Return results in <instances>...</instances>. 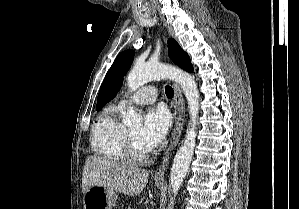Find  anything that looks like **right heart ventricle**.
<instances>
[{"instance_id":"obj_1","label":"right heart ventricle","mask_w":299,"mask_h":209,"mask_svg":"<svg viewBox=\"0 0 299 209\" xmlns=\"http://www.w3.org/2000/svg\"><path fill=\"white\" fill-rule=\"evenodd\" d=\"M119 106H109L95 121L91 133V147L100 156L125 161L124 128L118 120Z\"/></svg>"}]
</instances>
